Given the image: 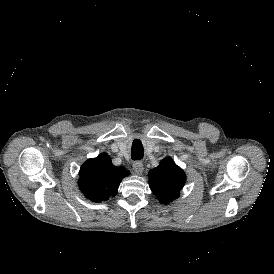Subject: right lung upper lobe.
Segmentation results:
<instances>
[{"mask_svg": "<svg viewBox=\"0 0 274 274\" xmlns=\"http://www.w3.org/2000/svg\"><path fill=\"white\" fill-rule=\"evenodd\" d=\"M129 174L126 168L114 166L107 153H102L82 165L79 188L87 199L93 202L105 201L117 194L120 182Z\"/></svg>", "mask_w": 274, "mask_h": 274, "instance_id": "obj_1", "label": "right lung upper lobe"}]
</instances>
